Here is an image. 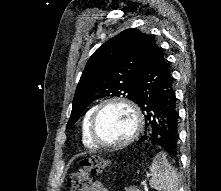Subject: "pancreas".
I'll return each instance as SVG.
<instances>
[{
  "mask_svg": "<svg viewBox=\"0 0 221 191\" xmlns=\"http://www.w3.org/2000/svg\"><path fill=\"white\" fill-rule=\"evenodd\" d=\"M125 191H141L140 189H137L135 187H126Z\"/></svg>",
  "mask_w": 221,
  "mask_h": 191,
  "instance_id": "1",
  "label": "pancreas"
}]
</instances>
